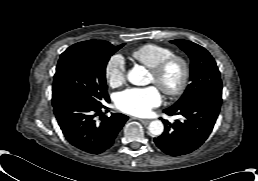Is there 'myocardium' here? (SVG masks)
I'll return each instance as SVG.
<instances>
[{
  "label": "myocardium",
  "mask_w": 258,
  "mask_h": 181,
  "mask_svg": "<svg viewBox=\"0 0 258 181\" xmlns=\"http://www.w3.org/2000/svg\"><path fill=\"white\" fill-rule=\"evenodd\" d=\"M173 64L179 65L181 70L180 77L175 85L167 86L162 82V79L170 66ZM150 71L154 75L155 82L159 85L161 90L169 96H177L182 94L188 85L190 77V65L189 62L180 55L171 54L154 67L150 68Z\"/></svg>",
  "instance_id": "myocardium-1"
}]
</instances>
